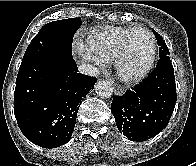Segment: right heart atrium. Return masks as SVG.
<instances>
[{"label":"right heart atrium","instance_id":"d8ad5b80","mask_svg":"<svg viewBox=\"0 0 196 166\" xmlns=\"http://www.w3.org/2000/svg\"><path fill=\"white\" fill-rule=\"evenodd\" d=\"M74 51L79 58L89 63H92L95 66H102L105 64V62L98 58L96 55H94L89 49V47L83 42H75Z\"/></svg>","mask_w":196,"mask_h":166}]
</instances>
